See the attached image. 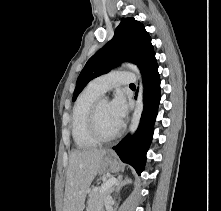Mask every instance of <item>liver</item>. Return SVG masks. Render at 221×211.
Here are the masks:
<instances>
[{
    "mask_svg": "<svg viewBox=\"0 0 221 211\" xmlns=\"http://www.w3.org/2000/svg\"><path fill=\"white\" fill-rule=\"evenodd\" d=\"M105 149L74 150L69 156L63 211H82L89 186L100 169Z\"/></svg>",
    "mask_w": 221,
    "mask_h": 211,
    "instance_id": "obj_1",
    "label": "liver"
}]
</instances>
